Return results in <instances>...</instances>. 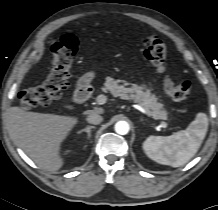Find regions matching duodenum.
Instances as JSON below:
<instances>
[{
  "instance_id": "410a0bca",
  "label": "duodenum",
  "mask_w": 218,
  "mask_h": 210,
  "mask_svg": "<svg viewBox=\"0 0 218 210\" xmlns=\"http://www.w3.org/2000/svg\"><path fill=\"white\" fill-rule=\"evenodd\" d=\"M89 84L86 82H82L76 89L75 92V101L77 104L81 105L87 102L91 95H92V90L89 88Z\"/></svg>"
}]
</instances>
